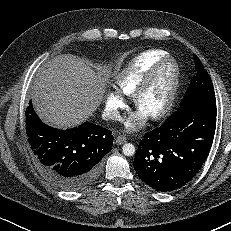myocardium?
Here are the masks:
<instances>
[{
  "label": "myocardium",
  "instance_id": "myocardium-1",
  "mask_svg": "<svg viewBox=\"0 0 231 231\" xmlns=\"http://www.w3.org/2000/svg\"><path fill=\"white\" fill-rule=\"evenodd\" d=\"M167 64H170L173 69L170 88L164 105L155 114L148 116V118L152 121H159L167 117L174 107L175 100L180 86V67L178 62L173 57L170 56H166L158 60L151 67V69L146 74L144 79L141 81V83L137 86V88L133 92V101L135 107L139 109L143 96L152 87L160 70Z\"/></svg>",
  "mask_w": 231,
  "mask_h": 231
}]
</instances>
